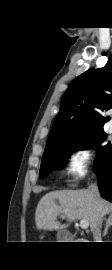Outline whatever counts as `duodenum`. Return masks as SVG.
Here are the masks:
<instances>
[{
    "instance_id": "obj_1",
    "label": "duodenum",
    "mask_w": 112,
    "mask_h": 270,
    "mask_svg": "<svg viewBox=\"0 0 112 270\" xmlns=\"http://www.w3.org/2000/svg\"><path fill=\"white\" fill-rule=\"evenodd\" d=\"M77 241H78V242H82V239L79 238V239H77Z\"/></svg>"
}]
</instances>
